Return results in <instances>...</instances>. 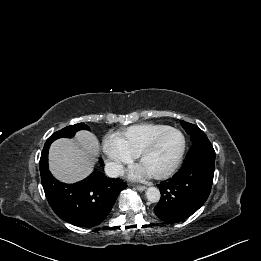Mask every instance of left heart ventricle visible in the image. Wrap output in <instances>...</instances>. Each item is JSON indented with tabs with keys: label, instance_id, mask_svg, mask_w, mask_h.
<instances>
[{
	"label": "left heart ventricle",
	"instance_id": "b2bd125f",
	"mask_svg": "<svg viewBox=\"0 0 261 261\" xmlns=\"http://www.w3.org/2000/svg\"><path fill=\"white\" fill-rule=\"evenodd\" d=\"M181 145V139L176 133L165 134L153 151L141 162V166L151 174L166 170L174 161Z\"/></svg>",
	"mask_w": 261,
	"mask_h": 261
}]
</instances>
